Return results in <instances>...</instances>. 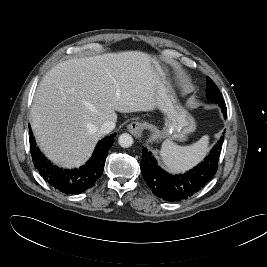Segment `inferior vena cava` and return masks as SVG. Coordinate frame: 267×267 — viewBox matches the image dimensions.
<instances>
[{
	"label": "inferior vena cava",
	"instance_id": "1",
	"mask_svg": "<svg viewBox=\"0 0 267 267\" xmlns=\"http://www.w3.org/2000/svg\"><path fill=\"white\" fill-rule=\"evenodd\" d=\"M115 128V122L107 120L100 127V132L102 134L110 133Z\"/></svg>",
	"mask_w": 267,
	"mask_h": 267
}]
</instances>
